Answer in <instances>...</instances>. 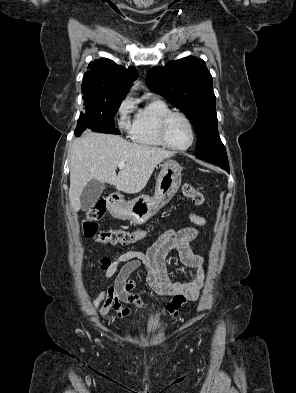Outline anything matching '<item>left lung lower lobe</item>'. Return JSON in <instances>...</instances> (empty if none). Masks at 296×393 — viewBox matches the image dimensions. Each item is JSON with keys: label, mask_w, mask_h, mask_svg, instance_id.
Segmentation results:
<instances>
[{"label": "left lung lower lobe", "mask_w": 296, "mask_h": 393, "mask_svg": "<svg viewBox=\"0 0 296 393\" xmlns=\"http://www.w3.org/2000/svg\"><path fill=\"white\" fill-rule=\"evenodd\" d=\"M206 161L217 165L230 173L228 159H207Z\"/></svg>", "instance_id": "left-lung-lower-lobe-1"}]
</instances>
